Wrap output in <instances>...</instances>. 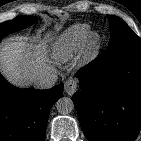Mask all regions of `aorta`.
<instances>
[{
  "mask_svg": "<svg viewBox=\"0 0 141 141\" xmlns=\"http://www.w3.org/2000/svg\"><path fill=\"white\" fill-rule=\"evenodd\" d=\"M56 109L61 114H69L74 109V103L69 97H62L56 102Z\"/></svg>",
  "mask_w": 141,
  "mask_h": 141,
  "instance_id": "762f6f07",
  "label": "aorta"
}]
</instances>
